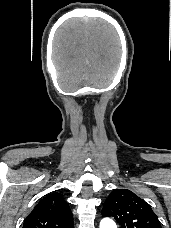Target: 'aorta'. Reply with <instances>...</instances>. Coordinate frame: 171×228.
Returning <instances> with one entry per match:
<instances>
[{"label": "aorta", "mask_w": 171, "mask_h": 228, "mask_svg": "<svg viewBox=\"0 0 171 228\" xmlns=\"http://www.w3.org/2000/svg\"><path fill=\"white\" fill-rule=\"evenodd\" d=\"M100 228H117V226L112 219L105 218L100 222Z\"/></svg>", "instance_id": "aorta-1"}]
</instances>
